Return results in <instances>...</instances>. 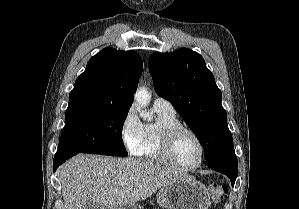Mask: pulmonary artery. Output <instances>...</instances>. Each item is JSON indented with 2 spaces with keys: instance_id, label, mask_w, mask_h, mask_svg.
<instances>
[{
  "instance_id": "1",
  "label": "pulmonary artery",
  "mask_w": 299,
  "mask_h": 209,
  "mask_svg": "<svg viewBox=\"0 0 299 209\" xmlns=\"http://www.w3.org/2000/svg\"><path fill=\"white\" fill-rule=\"evenodd\" d=\"M154 108L159 109L164 112L168 113H175V109L173 105L166 99L162 97H157L153 103Z\"/></svg>"
}]
</instances>
